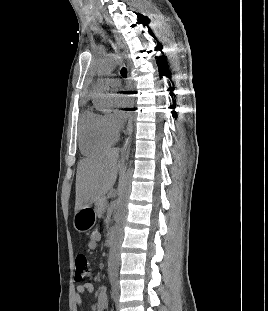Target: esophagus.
<instances>
[{
  "instance_id": "esophagus-1",
  "label": "esophagus",
  "mask_w": 268,
  "mask_h": 311,
  "mask_svg": "<svg viewBox=\"0 0 268 311\" xmlns=\"http://www.w3.org/2000/svg\"><path fill=\"white\" fill-rule=\"evenodd\" d=\"M127 79L130 82V72H129V69H128V74H127ZM136 88L137 87L134 84L130 86V89H131V92H132L133 95L137 94ZM132 132H133V116L131 115V117L128 120L127 133H126V137H125L124 144H123V147H122L123 151H126L127 148L129 147V144L131 142Z\"/></svg>"
}]
</instances>
